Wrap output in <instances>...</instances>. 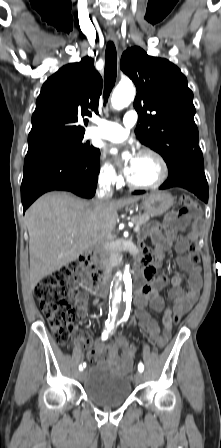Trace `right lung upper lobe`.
Instances as JSON below:
<instances>
[{
  "mask_svg": "<svg viewBox=\"0 0 221 448\" xmlns=\"http://www.w3.org/2000/svg\"><path fill=\"white\" fill-rule=\"evenodd\" d=\"M102 78L94 60L84 57L78 63L60 68L43 84L32 115L29 148L62 138L84 135L91 112H98Z\"/></svg>",
  "mask_w": 221,
  "mask_h": 448,
  "instance_id": "obj_1",
  "label": "right lung upper lobe"
}]
</instances>
